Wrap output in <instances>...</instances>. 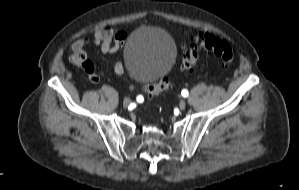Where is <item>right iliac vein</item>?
<instances>
[{"mask_svg":"<svg viewBox=\"0 0 299 190\" xmlns=\"http://www.w3.org/2000/svg\"><path fill=\"white\" fill-rule=\"evenodd\" d=\"M130 103H131V100L129 98H125L123 100V106L124 107H128L130 105Z\"/></svg>","mask_w":299,"mask_h":190,"instance_id":"63e3f726","label":"right iliac vein"}]
</instances>
